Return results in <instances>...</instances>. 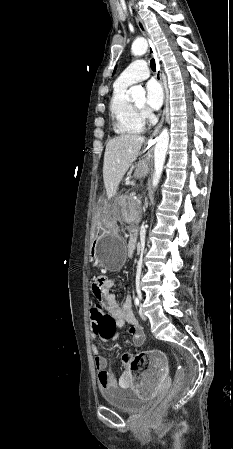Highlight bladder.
I'll return each mask as SVG.
<instances>
[{
    "mask_svg": "<svg viewBox=\"0 0 233 449\" xmlns=\"http://www.w3.org/2000/svg\"><path fill=\"white\" fill-rule=\"evenodd\" d=\"M102 396L107 404L125 412H136L149 408L153 401L141 399L133 389H122L117 386L102 389Z\"/></svg>",
    "mask_w": 233,
    "mask_h": 449,
    "instance_id": "obj_1",
    "label": "bladder"
}]
</instances>
